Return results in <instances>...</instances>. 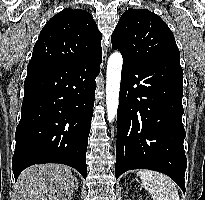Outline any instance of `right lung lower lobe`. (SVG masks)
Returning a JSON list of instances; mask_svg holds the SVG:
<instances>
[{
  "mask_svg": "<svg viewBox=\"0 0 205 200\" xmlns=\"http://www.w3.org/2000/svg\"><path fill=\"white\" fill-rule=\"evenodd\" d=\"M101 55L70 63H30L12 160L15 180L28 166L61 163L86 179V151Z\"/></svg>",
  "mask_w": 205,
  "mask_h": 200,
  "instance_id": "98d812e1",
  "label": "right lung lower lobe"
}]
</instances>
